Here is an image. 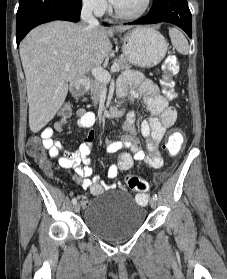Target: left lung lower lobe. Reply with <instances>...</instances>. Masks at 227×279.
<instances>
[{
    "label": "left lung lower lobe",
    "instance_id": "obj_1",
    "mask_svg": "<svg viewBox=\"0 0 227 279\" xmlns=\"http://www.w3.org/2000/svg\"><path fill=\"white\" fill-rule=\"evenodd\" d=\"M169 22L192 36V17L187 0H154L149 13L129 24H155Z\"/></svg>",
    "mask_w": 227,
    "mask_h": 279
}]
</instances>
